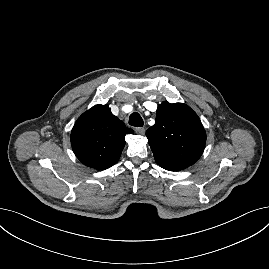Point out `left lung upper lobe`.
<instances>
[{
  "label": "left lung upper lobe",
  "instance_id": "obj_1",
  "mask_svg": "<svg viewBox=\"0 0 269 269\" xmlns=\"http://www.w3.org/2000/svg\"><path fill=\"white\" fill-rule=\"evenodd\" d=\"M146 136L155 161L164 169L193 165L206 143L199 117L183 103L162 102L157 108L156 122Z\"/></svg>",
  "mask_w": 269,
  "mask_h": 269
}]
</instances>
